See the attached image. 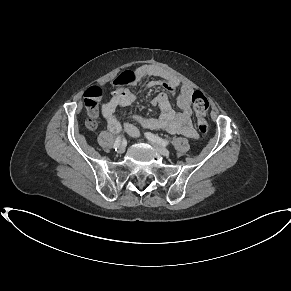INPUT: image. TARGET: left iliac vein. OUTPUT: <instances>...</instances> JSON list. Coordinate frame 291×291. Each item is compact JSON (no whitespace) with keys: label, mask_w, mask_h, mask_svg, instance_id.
<instances>
[{"label":"left iliac vein","mask_w":291,"mask_h":291,"mask_svg":"<svg viewBox=\"0 0 291 291\" xmlns=\"http://www.w3.org/2000/svg\"><path fill=\"white\" fill-rule=\"evenodd\" d=\"M149 140V139H148ZM150 141V140H149ZM152 145L155 147V149L163 156H166L168 157L170 155V152L169 150H167L165 147H163L162 145L158 144V143H155V142H152Z\"/></svg>","instance_id":"left-iliac-vein-1"}]
</instances>
